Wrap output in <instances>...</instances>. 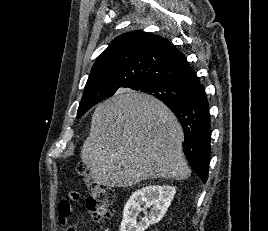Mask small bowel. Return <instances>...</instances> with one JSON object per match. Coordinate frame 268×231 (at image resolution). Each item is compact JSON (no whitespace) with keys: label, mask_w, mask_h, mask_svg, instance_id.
Instances as JSON below:
<instances>
[{"label":"small bowel","mask_w":268,"mask_h":231,"mask_svg":"<svg viewBox=\"0 0 268 231\" xmlns=\"http://www.w3.org/2000/svg\"><path fill=\"white\" fill-rule=\"evenodd\" d=\"M72 214V205L67 197H64L58 205L57 222L59 225L66 227L67 231H79L78 227L70 223Z\"/></svg>","instance_id":"c3829d8e"}]
</instances>
